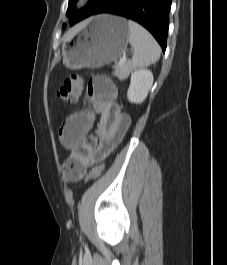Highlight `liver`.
Instances as JSON below:
<instances>
[{"instance_id":"1","label":"liver","mask_w":227,"mask_h":265,"mask_svg":"<svg viewBox=\"0 0 227 265\" xmlns=\"http://www.w3.org/2000/svg\"><path fill=\"white\" fill-rule=\"evenodd\" d=\"M81 28H82V26H79V27H76L75 29L69 31V32L65 35V39H68V40L71 39V38L74 36V34H75L77 31H79Z\"/></svg>"}]
</instances>
